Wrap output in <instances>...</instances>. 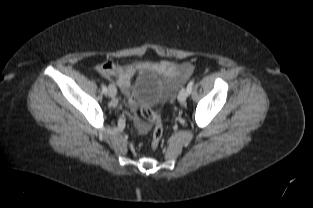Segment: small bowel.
<instances>
[{
	"label": "small bowel",
	"instance_id": "c3829d8e",
	"mask_svg": "<svg viewBox=\"0 0 313 208\" xmlns=\"http://www.w3.org/2000/svg\"><path fill=\"white\" fill-rule=\"evenodd\" d=\"M143 69L163 74L173 87H177L192 74L193 65L190 63L179 65L164 60L160 62H131L119 66L112 61H105L97 67V71L101 76L115 81L124 90L130 87L135 74Z\"/></svg>",
	"mask_w": 313,
	"mask_h": 208
}]
</instances>
